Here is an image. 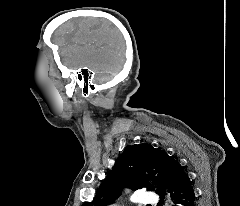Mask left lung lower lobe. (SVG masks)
I'll return each mask as SVG.
<instances>
[{
	"label": "left lung lower lobe",
	"instance_id": "obj_1",
	"mask_svg": "<svg viewBox=\"0 0 240 206\" xmlns=\"http://www.w3.org/2000/svg\"><path fill=\"white\" fill-rule=\"evenodd\" d=\"M165 189L170 193L174 206H195L191 180L177 161L173 164ZM158 206H162V202Z\"/></svg>",
	"mask_w": 240,
	"mask_h": 206
}]
</instances>
